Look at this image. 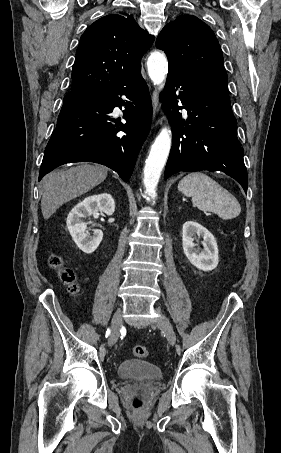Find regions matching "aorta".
<instances>
[{"label":"aorta","instance_id":"obj_1","mask_svg":"<svg viewBox=\"0 0 281 453\" xmlns=\"http://www.w3.org/2000/svg\"><path fill=\"white\" fill-rule=\"evenodd\" d=\"M147 68L151 81L161 90L168 72L166 56L158 51L152 52L147 60ZM170 148L171 131L168 126H165L155 138L144 167V187L151 199H155L157 196L156 188Z\"/></svg>","mask_w":281,"mask_h":453}]
</instances>
